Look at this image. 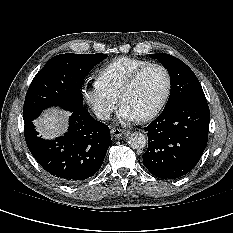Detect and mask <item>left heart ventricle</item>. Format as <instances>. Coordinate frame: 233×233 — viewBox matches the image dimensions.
<instances>
[{"instance_id": "b2bd125f", "label": "left heart ventricle", "mask_w": 233, "mask_h": 233, "mask_svg": "<svg viewBox=\"0 0 233 233\" xmlns=\"http://www.w3.org/2000/svg\"><path fill=\"white\" fill-rule=\"evenodd\" d=\"M166 84L164 72L159 68H150L142 74L135 87L124 97L123 105L140 118L160 102Z\"/></svg>"}]
</instances>
